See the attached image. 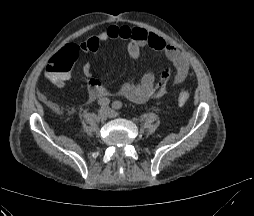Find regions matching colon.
Returning <instances> with one entry per match:
<instances>
[{"mask_svg":"<svg viewBox=\"0 0 254 216\" xmlns=\"http://www.w3.org/2000/svg\"><path fill=\"white\" fill-rule=\"evenodd\" d=\"M75 56L68 58L67 56L61 54L54 57L52 63L48 64L46 68L49 76L55 77L69 73ZM176 98L179 104H185L190 98V93L187 89L181 88L177 91Z\"/></svg>","mask_w":254,"mask_h":216,"instance_id":"5ec220e1","label":"colon"}]
</instances>
